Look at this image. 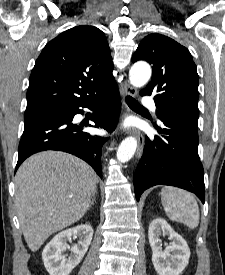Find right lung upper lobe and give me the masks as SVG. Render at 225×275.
<instances>
[{
    "label": "right lung upper lobe",
    "instance_id": "right-lung-upper-lobe-1",
    "mask_svg": "<svg viewBox=\"0 0 225 275\" xmlns=\"http://www.w3.org/2000/svg\"><path fill=\"white\" fill-rule=\"evenodd\" d=\"M104 33L93 26L71 28L42 50L29 79L25 114L87 103L116 87Z\"/></svg>",
    "mask_w": 225,
    "mask_h": 275
}]
</instances>
